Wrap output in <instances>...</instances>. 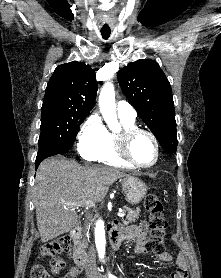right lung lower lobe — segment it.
<instances>
[{
    "mask_svg": "<svg viewBox=\"0 0 221 278\" xmlns=\"http://www.w3.org/2000/svg\"><path fill=\"white\" fill-rule=\"evenodd\" d=\"M72 147V145H65V146H61V147H57L51 150H48L42 154L37 155L36 157V161H35V167L36 169L38 168L39 164L47 157L49 156H53V155H57V154H63L65 152H67L70 148Z\"/></svg>",
    "mask_w": 221,
    "mask_h": 278,
    "instance_id": "right-lung-lower-lobe-1",
    "label": "right lung lower lobe"
}]
</instances>
